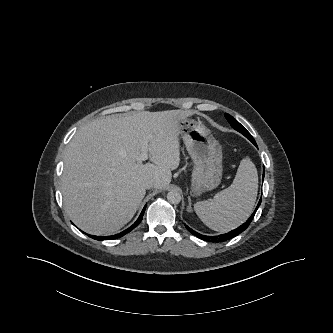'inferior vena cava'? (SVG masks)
<instances>
[{
  "instance_id": "inferior-vena-cava-1",
  "label": "inferior vena cava",
  "mask_w": 333,
  "mask_h": 333,
  "mask_svg": "<svg viewBox=\"0 0 333 333\" xmlns=\"http://www.w3.org/2000/svg\"><path fill=\"white\" fill-rule=\"evenodd\" d=\"M155 187V181L154 180H148L145 183V188L146 189H150V188H154Z\"/></svg>"
}]
</instances>
